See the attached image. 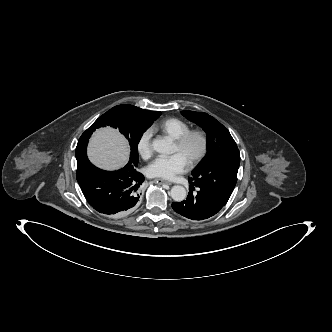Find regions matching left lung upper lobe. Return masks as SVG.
I'll use <instances>...</instances> for the list:
<instances>
[{
  "label": "left lung upper lobe",
  "instance_id": "obj_1",
  "mask_svg": "<svg viewBox=\"0 0 332 332\" xmlns=\"http://www.w3.org/2000/svg\"><path fill=\"white\" fill-rule=\"evenodd\" d=\"M207 134V154L192 171L189 181L228 201L237 182L240 153L229 131L204 112L181 111Z\"/></svg>",
  "mask_w": 332,
  "mask_h": 332
}]
</instances>
